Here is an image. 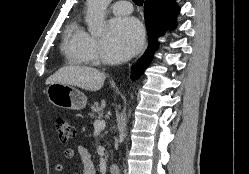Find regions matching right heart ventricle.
I'll list each match as a JSON object with an SVG mask.
<instances>
[{
	"label": "right heart ventricle",
	"instance_id": "obj_1",
	"mask_svg": "<svg viewBox=\"0 0 249 174\" xmlns=\"http://www.w3.org/2000/svg\"><path fill=\"white\" fill-rule=\"evenodd\" d=\"M88 34L79 20L71 22L64 33L62 51L70 64L88 65L91 59L85 51V41Z\"/></svg>",
	"mask_w": 249,
	"mask_h": 174
}]
</instances>
